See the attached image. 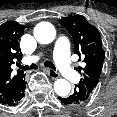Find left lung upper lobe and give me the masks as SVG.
<instances>
[{"mask_svg":"<svg viewBox=\"0 0 117 117\" xmlns=\"http://www.w3.org/2000/svg\"><path fill=\"white\" fill-rule=\"evenodd\" d=\"M59 22L73 37L74 52L79 55V59L83 58L85 67H78L77 69L83 78L77 87L83 88L90 98L98 85L105 58L100 33L82 15L65 17Z\"/></svg>","mask_w":117,"mask_h":117,"instance_id":"obj_1","label":"left lung upper lobe"}]
</instances>
